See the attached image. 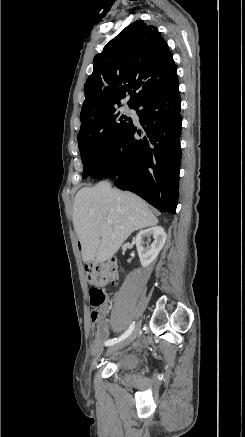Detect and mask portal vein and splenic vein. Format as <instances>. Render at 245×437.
Returning a JSON list of instances; mask_svg holds the SVG:
<instances>
[{
  "mask_svg": "<svg viewBox=\"0 0 245 437\" xmlns=\"http://www.w3.org/2000/svg\"><path fill=\"white\" fill-rule=\"evenodd\" d=\"M107 223L111 224V223H112V220L109 219V218H107Z\"/></svg>",
  "mask_w": 245,
  "mask_h": 437,
  "instance_id": "1",
  "label": "portal vein and splenic vein"
}]
</instances>
